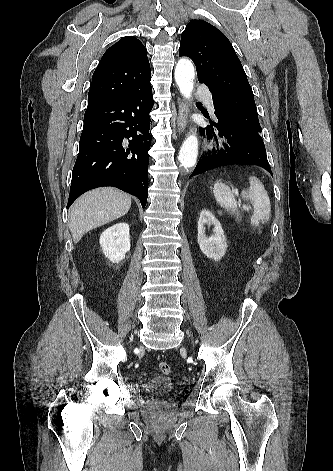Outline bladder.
Listing matches in <instances>:
<instances>
[{
    "label": "bladder",
    "instance_id": "31cf9c89",
    "mask_svg": "<svg viewBox=\"0 0 333 471\" xmlns=\"http://www.w3.org/2000/svg\"><path fill=\"white\" fill-rule=\"evenodd\" d=\"M175 381L167 376L158 375L142 385V390L151 393H167L173 390Z\"/></svg>",
    "mask_w": 333,
    "mask_h": 471
}]
</instances>
